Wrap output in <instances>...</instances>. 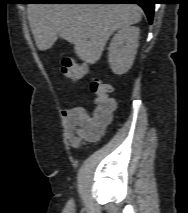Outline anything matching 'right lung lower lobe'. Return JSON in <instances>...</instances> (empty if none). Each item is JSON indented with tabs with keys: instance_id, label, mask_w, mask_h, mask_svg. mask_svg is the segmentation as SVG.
Segmentation results:
<instances>
[{
	"instance_id": "98d812e1",
	"label": "right lung lower lobe",
	"mask_w": 188,
	"mask_h": 213,
	"mask_svg": "<svg viewBox=\"0 0 188 213\" xmlns=\"http://www.w3.org/2000/svg\"><path fill=\"white\" fill-rule=\"evenodd\" d=\"M76 3H133L140 5L145 11L149 22H152L154 5L157 0H69Z\"/></svg>"
}]
</instances>
